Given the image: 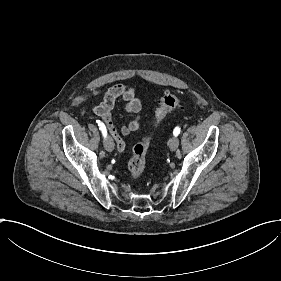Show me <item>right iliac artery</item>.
I'll use <instances>...</instances> for the list:
<instances>
[{
    "label": "right iliac artery",
    "mask_w": 281,
    "mask_h": 281,
    "mask_svg": "<svg viewBox=\"0 0 281 281\" xmlns=\"http://www.w3.org/2000/svg\"><path fill=\"white\" fill-rule=\"evenodd\" d=\"M96 122L98 123L99 129L102 131L103 136L106 137L107 136V130H106V127H105L104 123H102L100 120H96Z\"/></svg>",
    "instance_id": "right-iliac-artery-1"
}]
</instances>
